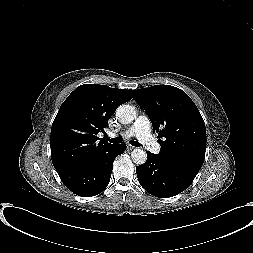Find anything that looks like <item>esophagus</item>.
<instances>
[{
  "mask_svg": "<svg viewBox=\"0 0 253 253\" xmlns=\"http://www.w3.org/2000/svg\"><path fill=\"white\" fill-rule=\"evenodd\" d=\"M127 149H128V150H134L135 147H134V146H131V145H127Z\"/></svg>",
  "mask_w": 253,
  "mask_h": 253,
  "instance_id": "esophagus-1",
  "label": "esophagus"
}]
</instances>
